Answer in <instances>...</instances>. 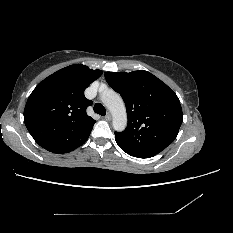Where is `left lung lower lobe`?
I'll return each instance as SVG.
<instances>
[{"instance_id":"1","label":"left lung lower lobe","mask_w":233,"mask_h":233,"mask_svg":"<svg viewBox=\"0 0 233 233\" xmlns=\"http://www.w3.org/2000/svg\"><path fill=\"white\" fill-rule=\"evenodd\" d=\"M117 142V141H116ZM117 144L119 145V147L125 151L127 154L131 155V156H134V157H138V158H148L149 156H143V155H138V154H135L134 152H132L131 150L129 149H126L124 148L123 146H121L118 142Z\"/></svg>"}]
</instances>
